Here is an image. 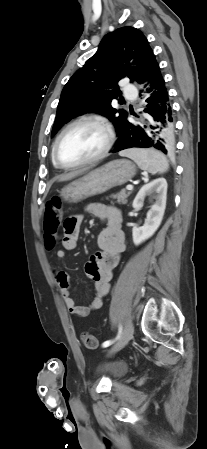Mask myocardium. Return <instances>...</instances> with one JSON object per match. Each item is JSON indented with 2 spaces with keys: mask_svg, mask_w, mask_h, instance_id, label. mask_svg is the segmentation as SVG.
I'll use <instances>...</instances> for the list:
<instances>
[{
  "mask_svg": "<svg viewBox=\"0 0 207 449\" xmlns=\"http://www.w3.org/2000/svg\"><path fill=\"white\" fill-rule=\"evenodd\" d=\"M81 124L92 125V126H96L99 129H101L105 134V145H104L103 149L96 156H94L88 160L81 161V162L74 163V164H66V163L62 162L61 159L59 158V155H58L59 143L67 131H69L74 126L81 125ZM113 143H114V132H113L111 126L107 122H105L104 120H101V119H97V118H79V119H76V120L70 122L58 134V136L55 139V142L53 144L52 156H53V159L58 167H60L62 169H66V170L76 169V168H80L83 166L94 164V163L102 160L104 157L107 156V154L111 150Z\"/></svg>",
  "mask_w": 207,
  "mask_h": 449,
  "instance_id": "obj_1",
  "label": "myocardium"
}]
</instances>
